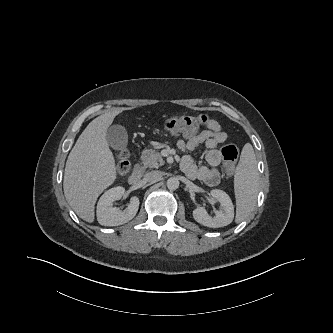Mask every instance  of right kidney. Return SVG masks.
Listing matches in <instances>:
<instances>
[{"label":"right kidney","mask_w":333,"mask_h":333,"mask_svg":"<svg viewBox=\"0 0 333 333\" xmlns=\"http://www.w3.org/2000/svg\"><path fill=\"white\" fill-rule=\"evenodd\" d=\"M125 193L121 186L107 190L97 204V220L103 226H118L129 222L136 215L139 208V198L133 196L125 210L113 207V203Z\"/></svg>","instance_id":"1"}]
</instances>
